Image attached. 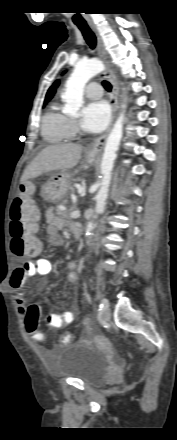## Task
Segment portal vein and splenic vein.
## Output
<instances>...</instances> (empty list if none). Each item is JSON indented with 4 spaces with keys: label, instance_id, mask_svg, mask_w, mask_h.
Here are the masks:
<instances>
[{
    "label": "portal vein and splenic vein",
    "instance_id": "obj_1",
    "mask_svg": "<svg viewBox=\"0 0 177 440\" xmlns=\"http://www.w3.org/2000/svg\"><path fill=\"white\" fill-rule=\"evenodd\" d=\"M79 216H80V211L79 210H75V211L70 213V217L71 218H78Z\"/></svg>",
    "mask_w": 177,
    "mask_h": 440
}]
</instances>
